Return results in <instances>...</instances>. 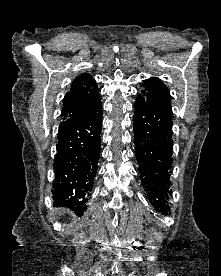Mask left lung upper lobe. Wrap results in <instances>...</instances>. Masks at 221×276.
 <instances>
[{
    "label": "left lung upper lobe",
    "mask_w": 221,
    "mask_h": 276,
    "mask_svg": "<svg viewBox=\"0 0 221 276\" xmlns=\"http://www.w3.org/2000/svg\"><path fill=\"white\" fill-rule=\"evenodd\" d=\"M141 91L147 102L157 109L172 115L171 98L168 88L158 78L152 77L143 82Z\"/></svg>",
    "instance_id": "1"
}]
</instances>
